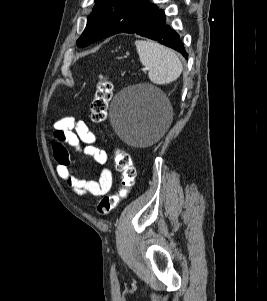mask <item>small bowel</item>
<instances>
[{
    "label": "small bowel",
    "instance_id": "1",
    "mask_svg": "<svg viewBox=\"0 0 267 301\" xmlns=\"http://www.w3.org/2000/svg\"><path fill=\"white\" fill-rule=\"evenodd\" d=\"M55 143L53 155L58 176L68 188L79 196H103L113 184L112 172L104 167L98 180H86L76 177L72 171V159L65 147L70 146L78 153L91 157L98 165L104 166L108 161L107 152L97 146V137L84 121L72 117L57 120L53 126Z\"/></svg>",
    "mask_w": 267,
    "mask_h": 301
}]
</instances>
